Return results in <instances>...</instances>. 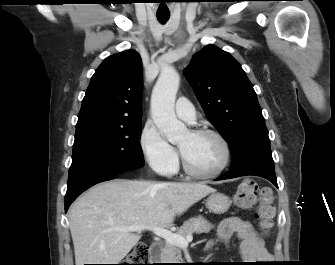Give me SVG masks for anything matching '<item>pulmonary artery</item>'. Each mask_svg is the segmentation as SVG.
I'll return each instance as SVG.
<instances>
[{
  "label": "pulmonary artery",
  "instance_id": "1",
  "mask_svg": "<svg viewBox=\"0 0 335 265\" xmlns=\"http://www.w3.org/2000/svg\"><path fill=\"white\" fill-rule=\"evenodd\" d=\"M175 112L177 116L185 121L193 122L195 120V109L191 102L181 97L177 100L175 105Z\"/></svg>",
  "mask_w": 335,
  "mask_h": 265
}]
</instances>
